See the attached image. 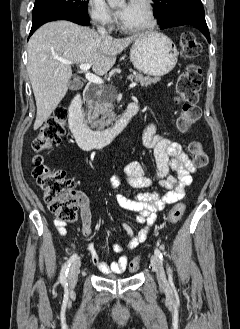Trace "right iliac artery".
Listing matches in <instances>:
<instances>
[{
    "instance_id": "right-iliac-artery-1",
    "label": "right iliac artery",
    "mask_w": 240,
    "mask_h": 329,
    "mask_svg": "<svg viewBox=\"0 0 240 329\" xmlns=\"http://www.w3.org/2000/svg\"><path fill=\"white\" fill-rule=\"evenodd\" d=\"M78 258L77 254H73L68 260L67 262L64 263V265L62 266L61 272H60V278L59 281L62 284V286H64V288L66 289L68 286V282H67V274L69 272V267L71 266V264Z\"/></svg>"
}]
</instances>
